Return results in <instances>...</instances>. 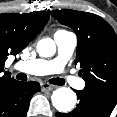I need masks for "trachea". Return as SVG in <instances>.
I'll list each match as a JSON object with an SVG mask.
<instances>
[{
	"instance_id": "1",
	"label": "trachea",
	"mask_w": 117,
	"mask_h": 117,
	"mask_svg": "<svg viewBox=\"0 0 117 117\" xmlns=\"http://www.w3.org/2000/svg\"><path fill=\"white\" fill-rule=\"evenodd\" d=\"M16 78L18 80H22V81H26L27 80V76L24 74V73H19L16 75ZM51 84H54V85H64L65 84V81L64 79H61V78H53L49 81Z\"/></svg>"
}]
</instances>
